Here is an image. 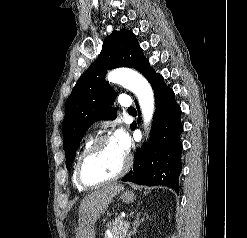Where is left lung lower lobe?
<instances>
[{
  "label": "left lung lower lobe",
  "mask_w": 247,
  "mask_h": 238,
  "mask_svg": "<svg viewBox=\"0 0 247 238\" xmlns=\"http://www.w3.org/2000/svg\"><path fill=\"white\" fill-rule=\"evenodd\" d=\"M147 80L154 90L156 102L151 137L148 143L136 151L133 169L122 181L147 186L165 185L178 190L182 170L181 108L174 100L173 90L165 85L160 74L152 70ZM135 127L132 124V130Z\"/></svg>",
  "instance_id": "obj_1"
}]
</instances>
